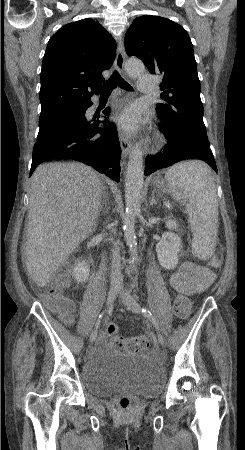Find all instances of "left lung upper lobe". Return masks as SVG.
Here are the masks:
<instances>
[{
	"instance_id": "obj_1",
	"label": "left lung upper lobe",
	"mask_w": 245,
	"mask_h": 450,
	"mask_svg": "<svg viewBox=\"0 0 245 450\" xmlns=\"http://www.w3.org/2000/svg\"><path fill=\"white\" fill-rule=\"evenodd\" d=\"M124 44L152 74L163 76L157 112L168 132L208 142L200 81L191 40L185 29L163 17L144 15L128 29Z\"/></svg>"
}]
</instances>
